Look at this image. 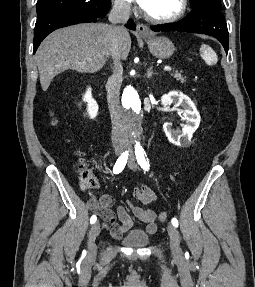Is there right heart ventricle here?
I'll list each match as a JSON object with an SVG mask.
<instances>
[{
	"mask_svg": "<svg viewBox=\"0 0 255 287\" xmlns=\"http://www.w3.org/2000/svg\"><path fill=\"white\" fill-rule=\"evenodd\" d=\"M125 39H127V38H125ZM136 39H144V38H136ZM131 48H146V47H131Z\"/></svg>",
	"mask_w": 255,
	"mask_h": 287,
	"instance_id": "right-heart-ventricle-1",
	"label": "right heart ventricle"
}]
</instances>
